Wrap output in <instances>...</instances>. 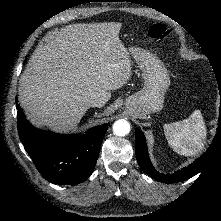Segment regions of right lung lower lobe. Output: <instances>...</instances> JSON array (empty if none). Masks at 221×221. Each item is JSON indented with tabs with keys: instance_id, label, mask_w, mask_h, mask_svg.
Instances as JSON below:
<instances>
[{
	"instance_id": "right-lung-lower-lobe-1",
	"label": "right lung lower lobe",
	"mask_w": 221,
	"mask_h": 221,
	"mask_svg": "<svg viewBox=\"0 0 221 221\" xmlns=\"http://www.w3.org/2000/svg\"><path fill=\"white\" fill-rule=\"evenodd\" d=\"M17 110L20 140L47 181L73 185L92 174L109 123L93 127L85 135H61L35 128L18 104Z\"/></svg>"
}]
</instances>
